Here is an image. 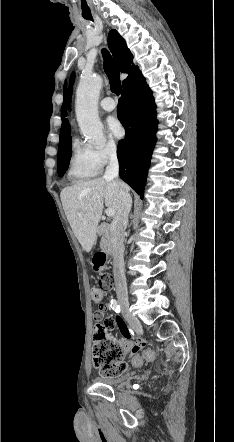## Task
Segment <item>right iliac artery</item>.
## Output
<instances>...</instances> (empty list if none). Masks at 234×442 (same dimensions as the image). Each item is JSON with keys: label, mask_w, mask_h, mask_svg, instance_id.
<instances>
[{"label": "right iliac artery", "mask_w": 234, "mask_h": 442, "mask_svg": "<svg viewBox=\"0 0 234 442\" xmlns=\"http://www.w3.org/2000/svg\"><path fill=\"white\" fill-rule=\"evenodd\" d=\"M110 306L115 312H117V313L120 312V306L116 300H111Z\"/></svg>", "instance_id": "obj_1"}]
</instances>
